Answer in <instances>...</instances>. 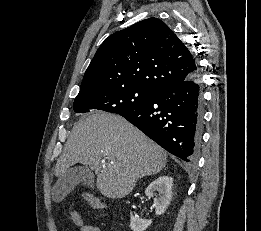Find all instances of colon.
I'll use <instances>...</instances> for the list:
<instances>
[{"label": "colon", "mask_w": 261, "mask_h": 231, "mask_svg": "<svg viewBox=\"0 0 261 231\" xmlns=\"http://www.w3.org/2000/svg\"><path fill=\"white\" fill-rule=\"evenodd\" d=\"M86 202H87L88 205H90L94 209L102 210V209L106 208V206L103 202H101V201H99V200H97V199H95L94 197H91V196L86 197ZM72 211H74V210H72Z\"/></svg>", "instance_id": "5ec220e1"}]
</instances>
